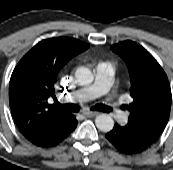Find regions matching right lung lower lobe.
<instances>
[{
	"mask_svg": "<svg viewBox=\"0 0 173 170\" xmlns=\"http://www.w3.org/2000/svg\"><path fill=\"white\" fill-rule=\"evenodd\" d=\"M76 126L77 120L73 114H70L64 121L53 124L40 132L26 137V139L38 147H53L67 138Z\"/></svg>",
	"mask_w": 173,
	"mask_h": 170,
	"instance_id": "obj_1",
	"label": "right lung lower lobe"
}]
</instances>
